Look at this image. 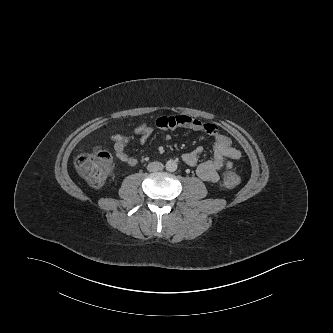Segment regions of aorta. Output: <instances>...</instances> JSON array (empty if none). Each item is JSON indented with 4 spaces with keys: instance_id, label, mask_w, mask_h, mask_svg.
<instances>
[{
    "instance_id": "aorta-1",
    "label": "aorta",
    "mask_w": 333,
    "mask_h": 333,
    "mask_svg": "<svg viewBox=\"0 0 333 333\" xmlns=\"http://www.w3.org/2000/svg\"><path fill=\"white\" fill-rule=\"evenodd\" d=\"M166 170L169 172H174L177 170V163L174 160H168L166 162Z\"/></svg>"
}]
</instances>
